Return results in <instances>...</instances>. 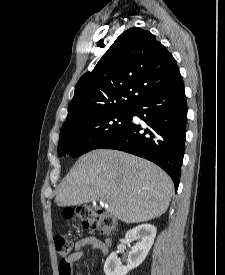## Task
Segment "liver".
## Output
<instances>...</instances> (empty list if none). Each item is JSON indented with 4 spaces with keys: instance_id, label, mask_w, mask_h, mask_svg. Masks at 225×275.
Masks as SVG:
<instances>
[{
    "instance_id": "6515ba94",
    "label": "liver",
    "mask_w": 225,
    "mask_h": 275,
    "mask_svg": "<svg viewBox=\"0 0 225 275\" xmlns=\"http://www.w3.org/2000/svg\"><path fill=\"white\" fill-rule=\"evenodd\" d=\"M174 185L157 165L131 154L97 149L81 156L61 182L60 206L100 200L125 223H141L166 212Z\"/></svg>"
}]
</instances>
